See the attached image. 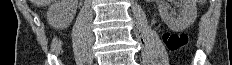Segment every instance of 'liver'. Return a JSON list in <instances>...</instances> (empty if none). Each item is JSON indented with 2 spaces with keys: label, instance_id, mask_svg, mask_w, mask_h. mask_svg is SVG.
<instances>
[{
  "label": "liver",
  "instance_id": "1",
  "mask_svg": "<svg viewBox=\"0 0 232 65\" xmlns=\"http://www.w3.org/2000/svg\"><path fill=\"white\" fill-rule=\"evenodd\" d=\"M31 2L37 6H45L54 2V0H31Z\"/></svg>",
  "mask_w": 232,
  "mask_h": 65
}]
</instances>
